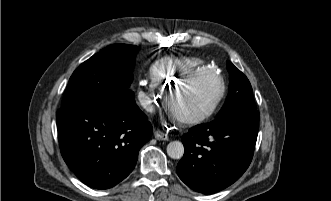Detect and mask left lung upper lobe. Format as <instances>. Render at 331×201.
Here are the masks:
<instances>
[{
    "label": "left lung upper lobe",
    "mask_w": 331,
    "mask_h": 201,
    "mask_svg": "<svg viewBox=\"0 0 331 201\" xmlns=\"http://www.w3.org/2000/svg\"><path fill=\"white\" fill-rule=\"evenodd\" d=\"M229 71V93L223 108L216 118L235 113L257 111L253 98V90L247 77L230 61H227Z\"/></svg>",
    "instance_id": "1"
}]
</instances>
